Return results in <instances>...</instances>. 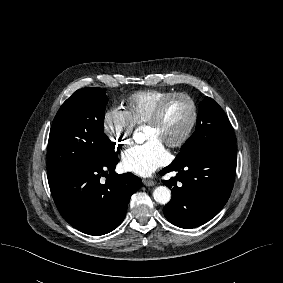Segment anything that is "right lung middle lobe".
Masks as SVG:
<instances>
[{"mask_svg":"<svg viewBox=\"0 0 283 283\" xmlns=\"http://www.w3.org/2000/svg\"><path fill=\"white\" fill-rule=\"evenodd\" d=\"M107 102L103 89L88 87L75 91L60 107L48 141V180L97 164L114 152L103 133Z\"/></svg>","mask_w":283,"mask_h":283,"instance_id":"obj_1","label":"right lung middle lobe"}]
</instances>
